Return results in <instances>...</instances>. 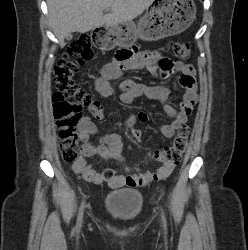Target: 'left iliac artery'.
<instances>
[{
    "mask_svg": "<svg viewBox=\"0 0 248 250\" xmlns=\"http://www.w3.org/2000/svg\"><path fill=\"white\" fill-rule=\"evenodd\" d=\"M162 221H163L164 229L166 230L167 229V224H166V218H165V215H164L163 212H162Z\"/></svg>",
    "mask_w": 248,
    "mask_h": 250,
    "instance_id": "44dca946",
    "label": "left iliac artery"
}]
</instances>
